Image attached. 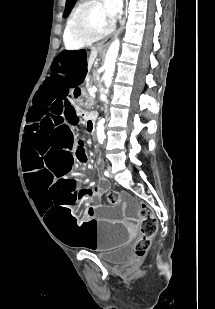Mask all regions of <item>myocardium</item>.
Masks as SVG:
<instances>
[{
	"instance_id": "f54148a6",
	"label": "myocardium",
	"mask_w": 215,
	"mask_h": 309,
	"mask_svg": "<svg viewBox=\"0 0 215 309\" xmlns=\"http://www.w3.org/2000/svg\"><path fill=\"white\" fill-rule=\"evenodd\" d=\"M92 8L94 7L90 5L78 8L74 11V19H70L67 24V27L70 29L69 39H76V42L73 43L78 48L90 47L93 43H97L99 38H106L107 34L114 32V19H108L104 27H93L89 32L84 31L88 28L89 21L84 19V15L80 14Z\"/></svg>"
}]
</instances>
